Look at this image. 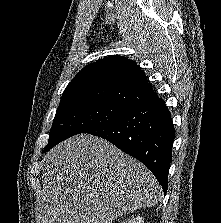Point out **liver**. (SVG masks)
<instances>
[{
    "label": "liver",
    "instance_id": "1",
    "mask_svg": "<svg viewBox=\"0 0 221 223\" xmlns=\"http://www.w3.org/2000/svg\"><path fill=\"white\" fill-rule=\"evenodd\" d=\"M37 223H112L161 197L153 174L96 136H73L42 160Z\"/></svg>",
    "mask_w": 221,
    "mask_h": 223
}]
</instances>
